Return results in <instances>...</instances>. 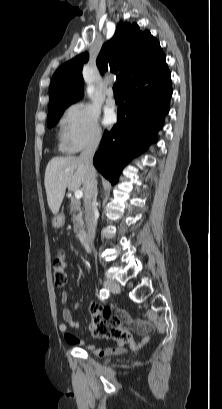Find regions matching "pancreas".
Masks as SVG:
<instances>
[{
    "label": "pancreas",
    "instance_id": "obj_1",
    "mask_svg": "<svg viewBox=\"0 0 222 409\" xmlns=\"http://www.w3.org/2000/svg\"><path fill=\"white\" fill-rule=\"evenodd\" d=\"M69 208L70 214L72 216V221L74 224V232L77 234L78 237H82L84 235L85 226L81 203L76 198H71Z\"/></svg>",
    "mask_w": 222,
    "mask_h": 409
}]
</instances>
